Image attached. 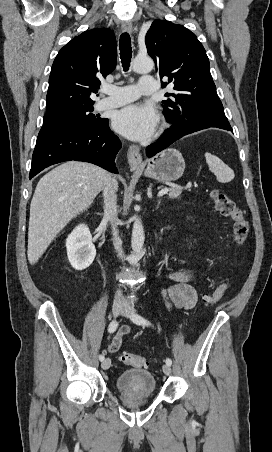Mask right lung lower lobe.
Listing matches in <instances>:
<instances>
[{
  "mask_svg": "<svg viewBox=\"0 0 272 452\" xmlns=\"http://www.w3.org/2000/svg\"><path fill=\"white\" fill-rule=\"evenodd\" d=\"M120 148L121 142L105 118L92 126L46 124L37 138L29 178L50 165L70 160L93 163L117 174L114 160Z\"/></svg>",
  "mask_w": 272,
  "mask_h": 452,
  "instance_id": "1",
  "label": "right lung lower lobe"
}]
</instances>
